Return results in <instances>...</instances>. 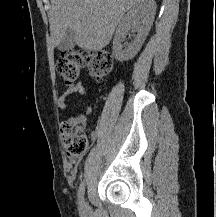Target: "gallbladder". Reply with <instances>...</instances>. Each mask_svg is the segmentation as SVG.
Masks as SVG:
<instances>
[{
    "instance_id": "bac80fb5",
    "label": "gallbladder",
    "mask_w": 216,
    "mask_h": 217,
    "mask_svg": "<svg viewBox=\"0 0 216 217\" xmlns=\"http://www.w3.org/2000/svg\"><path fill=\"white\" fill-rule=\"evenodd\" d=\"M76 45L75 33L72 30H68L60 43L58 44V49L61 51L71 50Z\"/></svg>"
}]
</instances>
